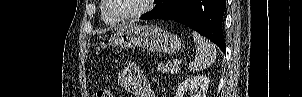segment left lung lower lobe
I'll return each instance as SVG.
<instances>
[{"mask_svg":"<svg viewBox=\"0 0 302 97\" xmlns=\"http://www.w3.org/2000/svg\"><path fill=\"white\" fill-rule=\"evenodd\" d=\"M225 8L226 0H158L153 10L140 19L175 20L206 36L225 52L222 32Z\"/></svg>","mask_w":302,"mask_h":97,"instance_id":"obj_1","label":"left lung lower lobe"}]
</instances>
